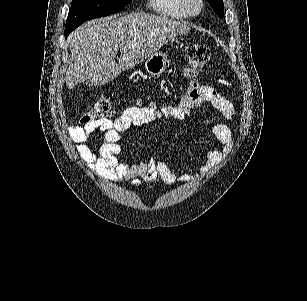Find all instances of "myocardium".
<instances>
[{"instance_id": "myocardium-1", "label": "myocardium", "mask_w": 307, "mask_h": 301, "mask_svg": "<svg viewBox=\"0 0 307 301\" xmlns=\"http://www.w3.org/2000/svg\"><path fill=\"white\" fill-rule=\"evenodd\" d=\"M185 3L183 11L186 16L196 15L199 16L203 12L205 2L203 0H182Z\"/></svg>"}]
</instances>
